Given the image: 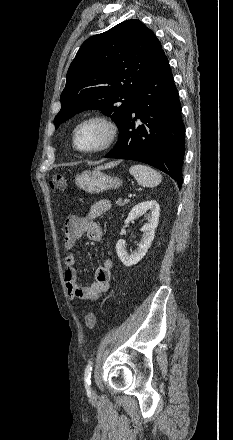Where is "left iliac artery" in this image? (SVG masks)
I'll use <instances>...</instances> for the list:
<instances>
[{"instance_id":"1","label":"left iliac artery","mask_w":233,"mask_h":440,"mask_svg":"<svg viewBox=\"0 0 233 440\" xmlns=\"http://www.w3.org/2000/svg\"><path fill=\"white\" fill-rule=\"evenodd\" d=\"M92 366H93V362L90 361L89 364L87 365L86 369H85V374H84L85 386H90L91 385Z\"/></svg>"}]
</instances>
